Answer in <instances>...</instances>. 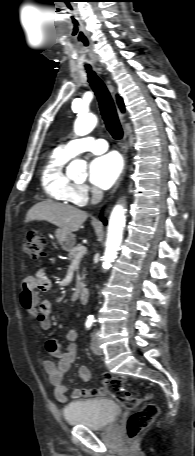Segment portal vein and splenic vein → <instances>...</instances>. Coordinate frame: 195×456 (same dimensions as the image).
<instances>
[{"instance_id":"1","label":"portal vein and splenic vein","mask_w":195,"mask_h":456,"mask_svg":"<svg viewBox=\"0 0 195 456\" xmlns=\"http://www.w3.org/2000/svg\"><path fill=\"white\" fill-rule=\"evenodd\" d=\"M85 252H86V247H85V246H80V247L78 248V254H79V256H80L81 254L85 253Z\"/></svg>"}]
</instances>
